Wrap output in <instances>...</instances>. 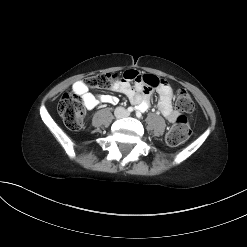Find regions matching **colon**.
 Instances as JSON below:
<instances>
[{
	"label": "colon",
	"mask_w": 247,
	"mask_h": 247,
	"mask_svg": "<svg viewBox=\"0 0 247 247\" xmlns=\"http://www.w3.org/2000/svg\"><path fill=\"white\" fill-rule=\"evenodd\" d=\"M116 73H101L87 78L86 85L94 89L111 88V81ZM148 83L154 87L157 80L147 78ZM175 105L182 113H190L194 110V103L190 94L181 89L177 92ZM58 112L64 124L71 130H79L83 126L85 117V105L80 97L75 94L65 93L58 104ZM191 134V129L186 117L181 114L175 124L166 135V141L171 146H177L186 141Z\"/></svg>",
	"instance_id": "obj_1"
}]
</instances>
